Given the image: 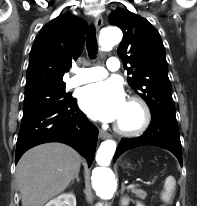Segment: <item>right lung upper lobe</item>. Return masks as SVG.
I'll return each instance as SVG.
<instances>
[{"label": "right lung upper lobe", "mask_w": 197, "mask_h": 206, "mask_svg": "<svg viewBox=\"0 0 197 206\" xmlns=\"http://www.w3.org/2000/svg\"><path fill=\"white\" fill-rule=\"evenodd\" d=\"M87 23L64 14L46 24L34 40L25 88L65 85L63 75L80 56Z\"/></svg>", "instance_id": "cb5924a9"}]
</instances>
